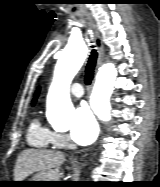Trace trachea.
I'll list each match as a JSON object with an SVG mask.
<instances>
[{
	"label": "trachea",
	"instance_id": "obj_1",
	"mask_svg": "<svg viewBox=\"0 0 160 187\" xmlns=\"http://www.w3.org/2000/svg\"><path fill=\"white\" fill-rule=\"evenodd\" d=\"M94 48V46H91ZM97 51L95 49H92L91 54L88 58V63L86 65L85 69V83L86 85H90L92 82V79L94 77V69L97 61Z\"/></svg>",
	"mask_w": 160,
	"mask_h": 187
}]
</instances>
